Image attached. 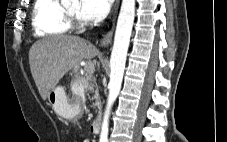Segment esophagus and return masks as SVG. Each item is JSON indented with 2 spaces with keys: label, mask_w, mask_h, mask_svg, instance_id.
<instances>
[{
  "label": "esophagus",
  "mask_w": 227,
  "mask_h": 142,
  "mask_svg": "<svg viewBox=\"0 0 227 142\" xmlns=\"http://www.w3.org/2000/svg\"><path fill=\"white\" fill-rule=\"evenodd\" d=\"M119 4H120V0H116L110 12L109 20L111 22V28L100 40V46L102 47L108 46L112 41Z\"/></svg>",
  "instance_id": "34e87169"
}]
</instances>
